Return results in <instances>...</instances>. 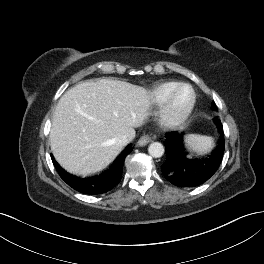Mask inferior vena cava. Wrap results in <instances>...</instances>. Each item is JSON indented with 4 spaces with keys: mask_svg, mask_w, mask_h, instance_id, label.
<instances>
[{
    "mask_svg": "<svg viewBox=\"0 0 264 264\" xmlns=\"http://www.w3.org/2000/svg\"><path fill=\"white\" fill-rule=\"evenodd\" d=\"M131 140L127 135H121L116 138V142L120 146H126Z\"/></svg>",
    "mask_w": 264,
    "mask_h": 264,
    "instance_id": "602c4592",
    "label": "inferior vena cava"
}]
</instances>
